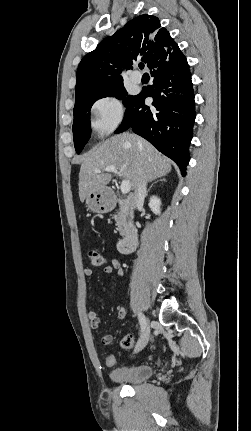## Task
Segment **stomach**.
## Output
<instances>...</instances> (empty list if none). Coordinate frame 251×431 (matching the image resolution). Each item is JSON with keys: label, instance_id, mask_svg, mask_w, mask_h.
<instances>
[{"label": "stomach", "instance_id": "stomach-1", "mask_svg": "<svg viewBox=\"0 0 251 431\" xmlns=\"http://www.w3.org/2000/svg\"><path fill=\"white\" fill-rule=\"evenodd\" d=\"M115 202L108 189L93 191L86 197V206L95 213H107L114 208Z\"/></svg>", "mask_w": 251, "mask_h": 431}]
</instances>
